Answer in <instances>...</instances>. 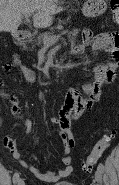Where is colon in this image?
<instances>
[{
  "label": "colon",
  "mask_w": 119,
  "mask_h": 185,
  "mask_svg": "<svg viewBox=\"0 0 119 185\" xmlns=\"http://www.w3.org/2000/svg\"><path fill=\"white\" fill-rule=\"evenodd\" d=\"M110 9L112 14V19L115 23L119 22V0H111ZM115 135L113 129L107 130L95 143L91 153L87 156L84 170L89 172L96 165L97 161L101 158L105 150L108 148L110 142Z\"/></svg>",
  "instance_id": "colon-1"
}]
</instances>
